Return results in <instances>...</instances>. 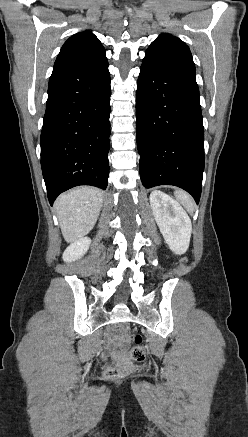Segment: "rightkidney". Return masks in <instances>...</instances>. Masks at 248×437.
Listing matches in <instances>:
<instances>
[{"label":"right kidney","instance_id":"1","mask_svg":"<svg viewBox=\"0 0 248 437\" xmlns=\"http://www.w3.org/2000/svg\"><path fill=\"white\" fill-rule=\"evenodd\" d=\"M91 240L84 237L76 240L70 244L63 253V260L65 262H72L80 259L89 249Z\"/></svg>","mask_w":248,"mask_h":437}]
</instances>
